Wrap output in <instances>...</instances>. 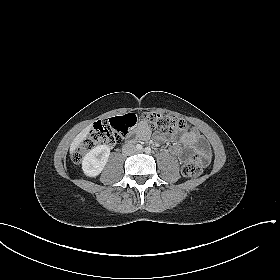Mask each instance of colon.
Returning a JSON list of instances; mask_svg holds the SVG:
<instances>
[{
    "mask_svg": "<svg viewBox=\"0 0 280 280\" xmlns=\"http://www.w3.org/2000/svg\"><path fill=\"white\" fill-rule=\"evenodd\" d=\"M149 126L159 132L175 133L187 128L184 119L158 112H146L142 115ZM138 117L134 113L121 117H114L98 121L93 129L86 135L76 147L73 159L80 162L86 152L99 145L113 146L120 143L127 135L129 129L136 123ZM209 162L208 154H194L182 166V174L185 177L199 176L204 166Z\"/></svg>",
    "mask_w": 280,
    "mask_h": 280,
    "instance_id": "1",
    "label": "colon"
}]
</instances>
